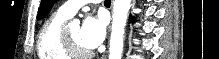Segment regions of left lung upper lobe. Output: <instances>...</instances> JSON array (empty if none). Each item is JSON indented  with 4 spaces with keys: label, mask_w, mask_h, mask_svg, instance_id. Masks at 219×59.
<instances>
[{
    "label": "left lung upper lobe",
    "mask_w": 219,
    "mask_h": 59,
    "mask_svg": "<svg viewBox=\"0 0 219 59\" xmlns=\"http://www.w3.org/2000/svg\"><path fill=\"white\" fill-rule=\"evenodd\" d=\"M56 1L57 0H42L39 9L38 19L44 17L49 12V10L52 8V6Z\"/></svg>",
    "instance_id": "1"
}]
</instances>
